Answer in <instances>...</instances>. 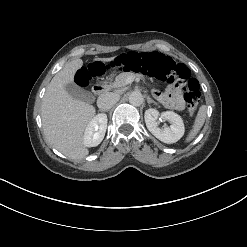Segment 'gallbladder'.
I'll return each mask as SVG.
<instances>
[{"mask_svg": "<svg viewBox=\"0 0 247 247\" xmlns=\"http://www.w3.org/2000/svg\"><path fill=\"white\" fill-rule=\"evenodd\" d=\"M65 89L68 92V94L74 99L84 101L87 103L92 102L94 99L91 92L86 91L74 84H68L67 86H65Z\"/></svg>", "mask_w": 247, "mask_h": 247, "instance_id": "gallbladder-1", "label": "gallbladder"}]
</instances>
